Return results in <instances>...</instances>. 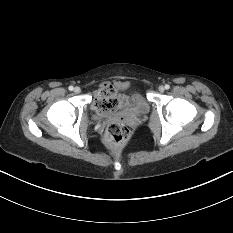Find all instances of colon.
Segmentation results:
<instances>
[{
  "instance_id": "obj_1",
  "label": "colon",
  "mask_w": 233,
  "mask_h": 233,
  "mask_svg": "<svg viewBox=\"0 0 233 233\" xmlns=\"http://www.w3.org/2000/svg\"><path fill=\"white\" fill-rule=\"evenodd\" d=\"M96 106L106 112L114 111L119 106V100L114 94L112 86L105 84L99 90ZM130 138V130L123 122L110 123L104 134L106 145L112 149L123 147Z\"/></svg>"
}]
</instances>
